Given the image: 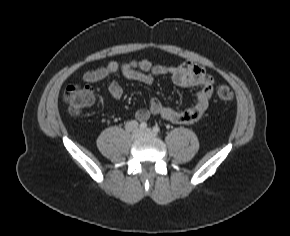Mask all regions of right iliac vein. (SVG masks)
<instances>
[{
	"mask_svg": "<svg viewBox=\"0 0 290 236\" xmlns=\"http://www.w3.org/2000/svg\"><path fill=\"white\" fill-rule=\"evenodd\" d=\"M132 136L135 139L141 138L143 136V131L139 128H136L135 130H133Z\"/></svg>",
	"mask_w": 290,
	"mask_h": 236,
	"instance_id": "obj_1",
	"label": "right iliac vein"
}]
</instances>
